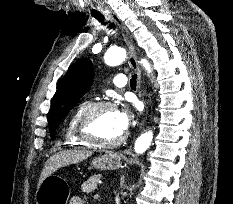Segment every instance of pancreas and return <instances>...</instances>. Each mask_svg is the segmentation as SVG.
<instances>
[{
	"label": "pancreas",
	"instance_id": "cf45deb5",
	"mask_svg": "<svg viewBox=\"0 0 233 204\" xmlns=\"http://www.w3.org/2000/svg\"><path fill=\"white\" fill-rule=\"evenodd\" d=\"M100 178H101L100 174L91 176L87 181H85L81 185L82 191L86 192V193L93 192L97 188V183H98Z\"/></svg>",
	"mask_w": 233,
	"mask_h": 204
}]
</instances>
